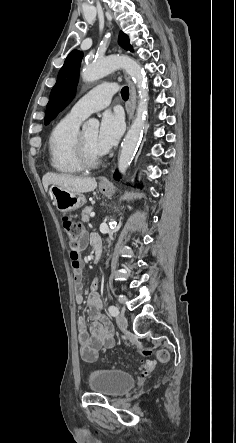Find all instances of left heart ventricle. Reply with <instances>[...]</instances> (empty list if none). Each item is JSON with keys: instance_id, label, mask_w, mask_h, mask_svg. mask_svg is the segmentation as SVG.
<instances>
[{"instance_id": "obj_1", "label": "left heart ventricle", "mask_w": 236, "mask_h": 443, "mask_svg": "<svg viewBox=\"0 0 236 443\" xmlns=\"http://www.w3.org/2000/svg\"><path fill=\"white\" fill-rule=\"evenodd\" d=\"M96 135H97V129L95 127H90L83 130V137L86 147L90 152V154L92 155L99 154L95 146Z\"/></svg>"}]
</instances>
